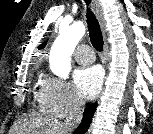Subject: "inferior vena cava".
Listing matches in <instances>:
<instances>
[{
    "label": "inferior vena cava",
    "instance_id": "1",
    "mask_svg": "<svg viewBox=\"0 0 153 134\" xmlns=\"http://www.w3.org/2000/svg\"><path fill=\"white\" fill-rule=\"evenodd\" d=\"M84 104V101L80 98L76 97L73 100L71 111L63 123V130L65 134L77 128L83 116Z\"/></svg>",
    "mask_w": 153,
    "mask_h": 134
}]
</instances>
